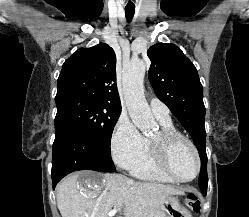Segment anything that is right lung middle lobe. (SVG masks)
Here are the masks:
<instances>
[{
  "label": "right lung middle lobe",
  "instance_id": "obj_1",
  "mask_svg": "<svg viewBox=\"0 0 249 217\" xmlns=\"http://www.w3.org/2000/svg\"><path fill=\"white\" fill-rule=\"evenodd\" d=\"M55 122H68L88 138L110 151L111 136L121 107L81 95L55 98Z\"/></svg>",
  "mask_w": 249,
  "mask_h": 217
}]
</instances>
